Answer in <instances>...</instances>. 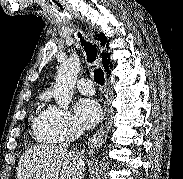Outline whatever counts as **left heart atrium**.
<instances>
[{
  "label": "left heart atrium",
  "instance_id": "left-heart-atrium-1",
  "mask_svg": "<svg viewBox=\"0 0 183 179\" xmlns=\"http://www.w3.org/2000/svg\"><path fill=\"white\" fill-rule=\"evenodd\" d=\"M78 122L86 129L93 128L100 120L102 109L99 103L90 98L80 99L75 105Z\"/></svg>",
  "mask_w": 183,
  "mask_h": 179
}]
</instances>
